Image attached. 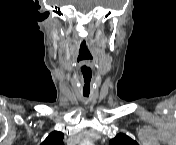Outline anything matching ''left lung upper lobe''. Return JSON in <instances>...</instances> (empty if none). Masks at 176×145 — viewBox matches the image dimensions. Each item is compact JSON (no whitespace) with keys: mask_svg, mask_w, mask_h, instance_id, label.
I'll return each mask as SVG.
<instances>
[{"mask_svg":"<svg viewBox=\"0 0 176 145\" xmlns=\"http://www.w3.org/2000/svg\"><path fill=\"white\" fill-rule=\"evenodd\" d=\"M110 145H138L136 141L125 134L119 133L114 139L110 140Z\"/></svg>","mask_w":176,"mask_h":145,"instance_id":"5c2ea615","label":"left lung upper lobe"}]
</instances>
